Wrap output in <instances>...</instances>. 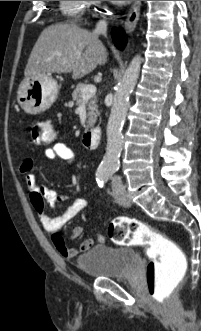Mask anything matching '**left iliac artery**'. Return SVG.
<instances>
[{
	"instance_id": "44dca946",
	"label": "left iliac artery",
	"mask_w": 201,
	"mask_h": 331,
	"mask_svg": "<svg viewBox=\"0 0 201 331\" xmlns=\"http://www.w3.org/2000/svg\"><path fill=\"white\" fill-rule=\"evenodd\" d=\"M115 172V169H107L97 174V182L100 187L108 180V178Z\"/></svg>"
}]
</instances>
